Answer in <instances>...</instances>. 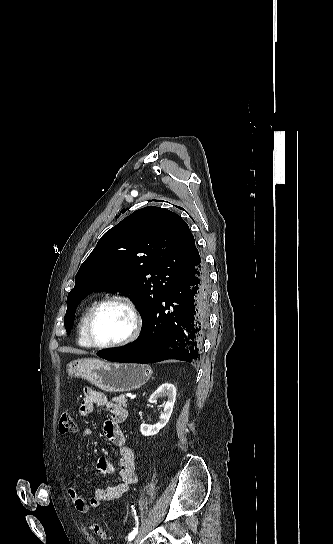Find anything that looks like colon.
<instances>
[{
  "mask_svg": "<svg viewBox=\"0 0 333 544\" xmlns=\"http://www.w3.org/2000/svg\"><path fill=\"white\" fill-rule=\"evenodd\" d=\"M58 429L61 434L72 433L75 431V420L70 412H66L60 417ZM90 528L101 539L106 540L109 538L108 531L101 524L93 523L91 524Z\"/></svg>",
  "mask_w": 333,
  "mask_h": 544,
  "instance_id": "obj_1",
  "label": "colon"
}]
</instances>
